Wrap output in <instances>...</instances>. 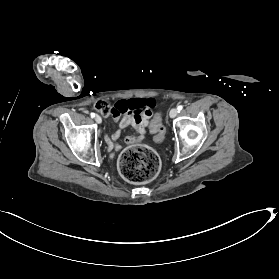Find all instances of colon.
I'll use <instances>...</instances> for the list:
<instances>
[{
    "label": "colon",
    "instance_id": "colon-1",
    "mask_svg": "<svg viewBox=\"0 0 279 279\" xmlns=\"http://www.w3.org/2000/svg\"><path fill=\"white\" fill-rule=\"evenodd\" d=\"M95 109L109 115L114 108L122 113H139L146 109H152V101L132 100L124 105L115 107L105 101H98ZM154 140L161 142L164 139L165 128L162 125L160 115H156L151 123ZM160 170V159L156 152L145 146H135L125 150L119 158V171L124 179L132 183H145L152 180Z\"/></svg>",
    "mask_w": 279,
    "mask_h": 279
}]
</instances>
